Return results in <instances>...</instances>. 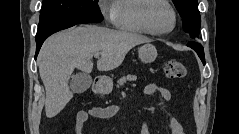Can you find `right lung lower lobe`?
I'll return each instance as SVG.
<instances>
[{"label": "right lung lower lobe", "instance_id": "obj_1", "mask_svg": "<svg viewBox=\"0 0 239 134\" xmlns=\"http://www.w3.org/2000/svg\"><path fill=\"white\" fill-rule=\"evenodd\" d=\"M76 24H85V23L84 22H73V23L65 24V25L59 26L57 28H54L53 30L49 31L48 33H46L45 35H43L41 37L36 38L37 48H36L35 58L37 57V54H38V52L40 50V47H41L42 43L45 41V39L47 37H49L51 34L57 32L59 30H63V29L72 27V26H74Z\"/></svg>", "mask_w": 239, "mask_h": 134}]
</instances>
